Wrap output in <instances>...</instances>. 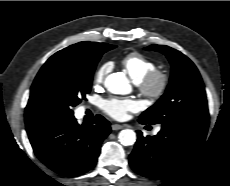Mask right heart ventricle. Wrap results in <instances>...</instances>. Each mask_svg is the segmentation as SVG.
Returning a JSON list of instances; mask_svg holds the SVG:
<instances>
[{
    "instance_id": "e07e8e85",
    "label": "right heart ventricle",
    "mask_w": 230,
    "mask_h": 186,
    "mask_svg": "<svg viewBox=\"0 0 230 186\" xmlns=\"http://www.w3.org/2000/svg\"><path fill=\"white\" fill-rule=\"evenodd\" d=\"M123 68L135 83H139L149 72L155 70L156 64L149 57L139 53L130 52L120 61Z\"/></svg>"
}]
</instances>
